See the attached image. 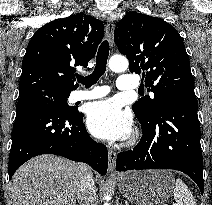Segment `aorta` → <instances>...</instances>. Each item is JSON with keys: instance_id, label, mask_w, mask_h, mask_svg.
<instances>
[{"instance_id": "aorta-1", "label": "aorta", "mask_w": 212, "mask_h": 205, "mask_svg": "<svg viewBox=\"0 0 212 205\" xmlns=\"http://www.w3.org/2000/svg\"><path fill=\"white\" fill-rule=\"evenodd\" d=\"M108 66L113 72H124L127 70L129 63L126 57L114 55L110 58ZM104 205H110V204L104 203Z\"/></svg>"}]
</instances>
